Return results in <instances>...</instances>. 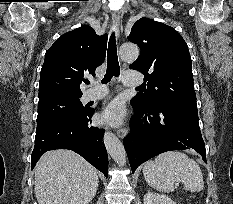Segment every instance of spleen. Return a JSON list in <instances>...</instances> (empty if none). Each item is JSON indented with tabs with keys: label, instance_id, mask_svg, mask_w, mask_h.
I'll use <instances>...</instances> for the list:
<instances>
[{
	"label": "spleen",
	"instance_id": "1",
	"mask_svg": "<svg viewBox=\"0 0 233 204\" xmlns=\"http://www.w3.org/2000/svg\"><path fill=\"white\" fill-rule=\"evenodd\" d=\"M143 175L150 187L161 192H171L174 184L182 182L186 191L199 192L204 188L203 174L193 159L179 151H168L143 167Z\"/></svg>",
	"mask_w": 233,
	"mask_h": 204
}]
</instances>
